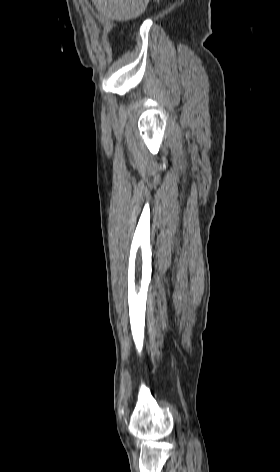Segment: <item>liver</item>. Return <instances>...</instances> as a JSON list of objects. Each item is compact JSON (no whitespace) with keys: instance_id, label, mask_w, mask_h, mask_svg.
<instances>
[{"instance_id":"6515ba94","label":"liver","mask_w":280,"mask_h":472,"mask_svg":"<svg viewBox=\"0 0 280 472\" xmlns=\"http://www.w3.org/2000/svg\"><path fill=\"white\" fill-rule=\"evenodd\" d=\"M101 14V22L114 20H130L140 16L149 0H92Z\"/></svg>"}]
</instances>
